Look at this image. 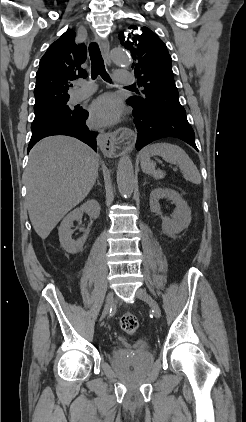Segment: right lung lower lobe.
I'll list each match as a JSON object with an SVG mask.
<instances>
[{
	"mask_svg": "<svg viewBox=\"0 0 246 422\" xmlns=\"http://www.w3.org/2000/svg\"><path fill=\"white\" fill-rule=\"evenodd\" d=\"M88 112L79 109L76 117L69 120L51 121L32 128V136L28 145V151L42 138L52 135H67L75 137L88 144L94 151L97 150V133L89 130L85 125Z\"/></svg>",
	"mask_w": 246,
	"mask_h": 422,
	"instance_id": "98d812e1",
	"label": "right lung lower lobe"
}]
</instances>
